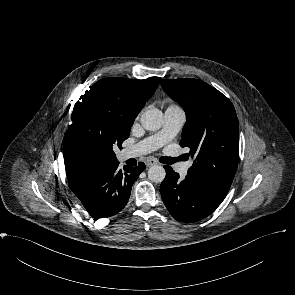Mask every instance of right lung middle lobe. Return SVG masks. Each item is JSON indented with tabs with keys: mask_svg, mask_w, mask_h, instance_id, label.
Segmentation results:
<instances>
[{
	"mask_svg": "<svg viewBox=\"0 0 295 295\" xmlns=\"http://www.w3.org/2000/svg\"><path fill=\"white\" fill-rule=\"evenodd\" d=\"M141 109L125 78H104L76 102L68 132L90 150L115 162L113 147L121 148Z\"/></svg>",
	"mask_w": 295,
	"mask_h": 295,
	"instance_id": "1",
	"label": "right lung middle lobe"
}]
</instances>
